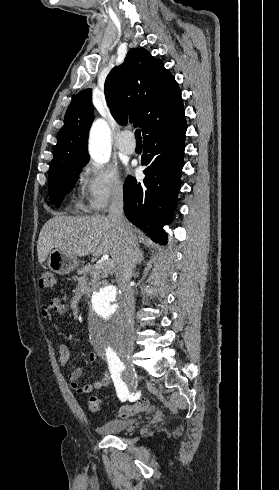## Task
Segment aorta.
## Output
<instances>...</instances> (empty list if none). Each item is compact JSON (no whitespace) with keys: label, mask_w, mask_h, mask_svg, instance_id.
I'll list each match as a JSON object with an SVG mask.
<instances>
[{"label":"aorta","mask_w":279,"mask_h":490,"mask_svg":"<svg viewBox=\"0 0 279 490\" xmlns=\"http://www.w3.org/2000/svg\"><path fill=\"white\" fill-rule=\"evenodd\" d=\"M111 131L103 119H97L90 129L88 150L97 163H106L111 154ZM89 337L100 353H110L131 339L127 311L119 292L107 285L91 297L87 315Z\"/></svg>","instance_id":"aorta-1"}]
</instances>
